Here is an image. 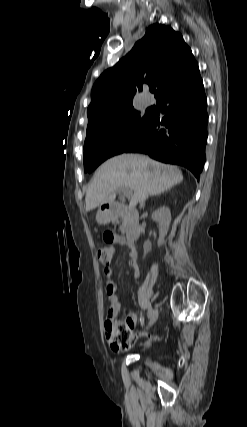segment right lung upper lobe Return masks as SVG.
<instances>
[{
	"label": "right lung upper lobe",
	"instance_id": "obj_1",
	"mask_svg": "<svg viewBox=\"0 0 247 427\" xmlns=\"http://www.w3.org/2000/svg\"><path fill=\"white\" fill-rule=\"evenodd\" d=\"M196 68L198 64L180 33L169 26H149L133 49L95 82L87 109V129L111 121L132 107L133 97L145 86L156 88L158 99Z\"/></svg>",
	"mask_w": 247,
	"mask_h": 427
}]
</instances>
